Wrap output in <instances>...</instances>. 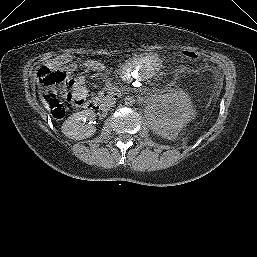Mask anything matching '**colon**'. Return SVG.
Returning a JSON list of instances; mask_svg holds the SVG:
<instances>
[{
	"label": "colon",
	"instance_id": "colon-1",
	"mask_svg": "<svg viewBox=\"0 0 257 257\" xmlns=\"http://www.w3.org/2000/svg\"><path fill=\"white\" fill-rule=\"evenodd\" d=\"M183 57L189 61H199L201 54L195 50H183ZM38 81L44 88V101L50 114L61 119L65 116L67 110L79 108L85 100L86 91L82 85V80L79 79L74 83L69 84L68 90L59 98L51 88L55 84L65 80V73L55 67L43 66L38 71Z\"/></svg>",
	"mask_w": 257,
	"mask_h": 257
}]
</instances>
